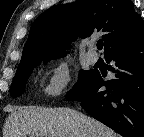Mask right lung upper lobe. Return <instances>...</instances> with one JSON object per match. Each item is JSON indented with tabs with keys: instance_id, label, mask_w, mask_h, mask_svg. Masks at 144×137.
Returning a JSON list of instances; mask_svg holds the SVG:
<instances>
[{
	"instance_id": "1",
	"label": "right lung upper lobe",
	"mask_w": 144,
	"mask_h": 137,
	"mask_svg": "<svg viewBox=\"0 0 144 137\" xmlns=\"http://www.w3.org/2000/svg\"><path fill=\"white\" fill-rule=\"evenodd\" d=\"M103 34L104 54L144 37V22L129 0H77L49 8L30 28L19 66L65 54L77 36Z\"/></svg>"
}]
</instances>
